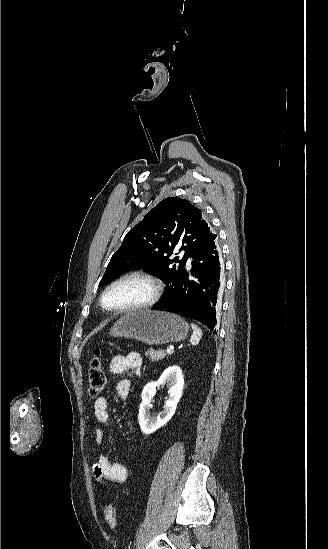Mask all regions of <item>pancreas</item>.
<instances>
[{"label":"pancreas","mask_w":328,"mask_h":549,"mask_svg":"<svg viewBox=\"0 0 328 549\" xmlns=\"http://www.w3.org/2000/svg\"><path fill=\"white\" fill-rule=\"evenodd\" d=\"M146 357H149L150 361H161L167 357L166 353L160 349V351H154V349H148L145 353ZM171 355V353H169Z\"/></svg>","instance_id":"1"}]
</instances>
